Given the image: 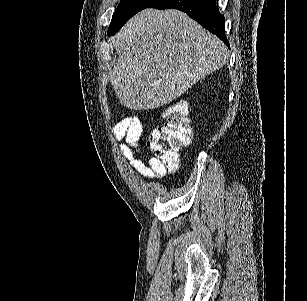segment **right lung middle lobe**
<instances>
[{
	"instance_id": "right-lung-middle-lobe-1",
	"label": "right lung middle lobe",
	"mask_w": 307,
	"mask_h": 301,
	"mask_svg": "<svg viewBox=\"0 0 307 301\" xmlns=\"http://www.w3.org/2000/svg\"><path fill=\"white\" fill-rule=\"evenodd\" d=\"M157 0H121L116 11L113 13L108 35L111 36L121 29V27L136 13L150 7Z\"/></svg>"
}]
</instances>
